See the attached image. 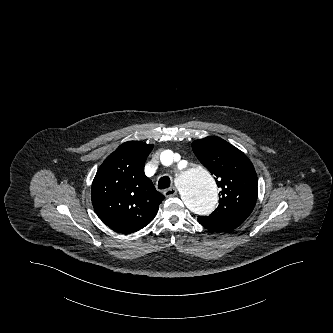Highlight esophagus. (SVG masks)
<instances>
[{"label": "esophagus", "instance_id": "obj_1", "mask_svg": "<svg viewBox=\"0 0 333 333\" xmlns=\"http://www.w3.org/2000/svg\"><path fill=\"white\" fill-rule=\"evenodd\" d=\"M164 195L166 198L174 197L177 195V190L175 187L168 188L164 191Z\"/></svg>", "mask_w": 333, "mask_h": 333}]
</instances>
